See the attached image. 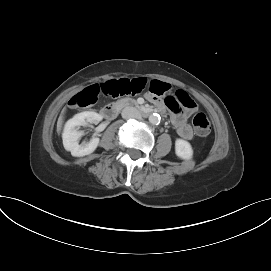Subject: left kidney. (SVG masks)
Returning a JSON list of instances; mask_svg holds the SVG:
<instances>
[{
    "label": "left kidney",
    "mask_w": 271,
    "mask_h": 271,
    "mask_svg": "<svg viewBox=\"0 0 271 271\" xmlns=\"http://www.w3.org/2000/svg\"><path fill=\"white\" fill-rule=\"evenodd\" d=\"M175 153L179 158L189 160L193 156V149L188 141L176 139Z\"/></svg>",
    "instance_id": "5707ae66"
}]
</instances>
